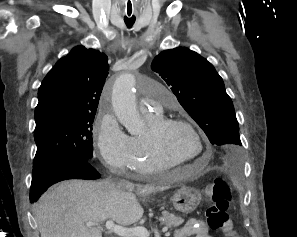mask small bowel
I'll list each match as a JSON object with an SVG mask.
<instances>
[{
  "label": "small bowel",
  "instance_id": "obj_1",
  "mask_svg": "<svg viewBox=\"0 0 297 237\" xmlns=\"http://www.w3.org/2000/svg\"><path fill=\"white\" fill-rule=\"evenodd\" d=\"M212 237L204 221L199 219H190L182 228H180L175 237Z\"/></svg>",
  "mask_w": 297,
  "mask_h": 237
}]
</instances>
